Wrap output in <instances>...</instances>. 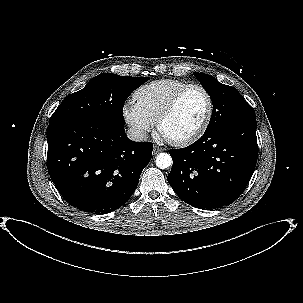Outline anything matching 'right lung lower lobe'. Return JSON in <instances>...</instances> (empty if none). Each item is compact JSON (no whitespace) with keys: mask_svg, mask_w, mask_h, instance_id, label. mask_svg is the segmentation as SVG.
<instances>
[{"mask_svg":"<svg viewBox=\"0 0 303 303\" xmlns=\"http://www.w3.org/2000/svg\"><path fill=\"white\" fill-rule=\"evenodd\" d=\"M47 169L64 200L105 214L124 205L136 189L153 144L131 141L124 127L68 121L47 128Z\"/></svg>","mask_w":303,"mask_h":303,"instance_id":"obj_1","label":"right lung lower lobe"}]
</instances>
